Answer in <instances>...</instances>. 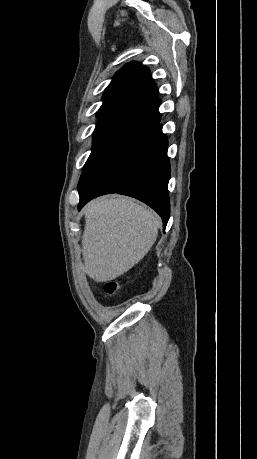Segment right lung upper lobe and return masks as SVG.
I'll list each match as a JSON object with an SVG mask.
<instances>
[{
	"label": "right lung upper lobe",
	"mask_w": 257,
	"mask_h": 459,
	"mask_svg": "<svg viewBox=\"0 0 257 459\" xmlns=\"http://www.w3.org/2000/svg\"><path fill=\"white\" fill-rule=\"evenodd\" d=\"M157 97L158 89L149 69L133 61L121 68L106 88L99 112L125 110L141 113L158 102Z\"/></svg>",
	"instance_id": "right-lung-upper-lobe-1"
}]
</instances>
